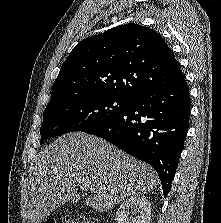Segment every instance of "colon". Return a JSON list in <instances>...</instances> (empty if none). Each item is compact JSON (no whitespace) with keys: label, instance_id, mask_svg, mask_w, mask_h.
<instances>
[{"label":"colon","instance_id":"5ec220e1","mask_svg":"<svg viewBox=\"0 0 221 223\" xmlns=\"http://www.w3.org/2000/svg\"><path fill=\"white\" fill-rule=\"evenodd\" d=\"M67 223H99L96 219L90 218H78L75 220H66ZM45 223H63L62 221H58L56 219H48Z\"/></svg>","mask_w":221,"mask_h":223}]
</instances>
